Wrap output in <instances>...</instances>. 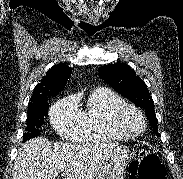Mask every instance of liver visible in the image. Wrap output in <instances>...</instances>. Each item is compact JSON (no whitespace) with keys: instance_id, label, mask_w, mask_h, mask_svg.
Segmentation results:
<instances>
[{"instance_id":"6515ba94","label":"liver","mask_w":183,"mask_h":179,"mask_svg":"<svg viewBox=\"0 0 183 179\" xmlns=\"http://www.w3.org/2000/svg\"><path fill=\"white\" fill-rule=\"evenodd\" d=\"M116 146L115 143H52L36 137L19 149L12 179H55L59 173H64V179H94Z\"/></svg>"}]
</instances>
